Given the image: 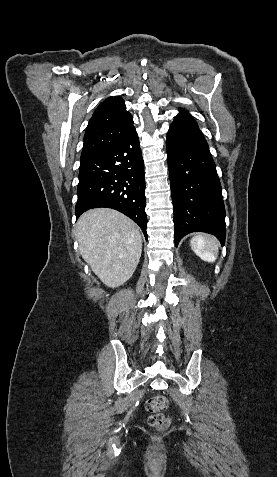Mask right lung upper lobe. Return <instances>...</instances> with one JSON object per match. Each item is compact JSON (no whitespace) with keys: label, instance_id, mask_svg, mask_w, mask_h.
Wrapping results in <instances>:
<instances>
[{"label":"right lung upper lobe","instance_id":"1","mask_svg":"<svg viewBox=\"0 0 277 477\" xmlns=\"http://www.w3.org/2000/svg\"><path fill=\"white\" fill-rule=\"evenodd\" d=\"M133 118L121 97H109L95 110L86 128L81 159L110 148L132 130Z\"/></svg>","mask_w":277,"mask_h":477}]
</instances>
